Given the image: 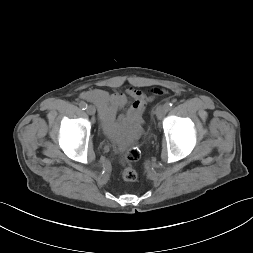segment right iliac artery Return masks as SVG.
Segmentation results:
<instances>
[{"label": "right iliac artery", "mask_w": 253, "mask_h": 253, "mask_svg": "<svg viewBox=\"0 0 253 253\" xmlns=\"http://www.w3.org/2000/svg\"><path fill=\"white\" fill-rule=\"evenodd\" d=\"M79 106L82 110H85L87 108V104L83 101L79 103Z\"/></svg>", "instance_id": "obj_1"}]
</instances>
